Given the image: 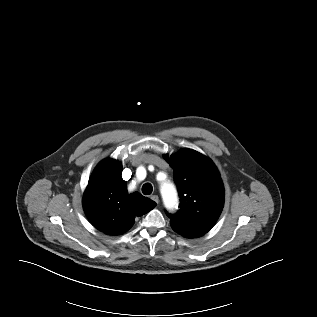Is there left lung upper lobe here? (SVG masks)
<instances>
[{"mask_svg":"<svg viewBox=\"0 0 317 317\" xmlns=\"http://www.w3.org/2000/svg\"><path fill=\"white\" fill-rule=\"evenodd\" d=\"M166 161L174 170L180 196L176 214H169L174 231L178 226L211 229L224 204V187L219 172L206 156L191 149H182Z\"/></svg>","mask_w":317,"mask_h":317,"instance_id":"1","label":"left lung upper lobe"}]
</instances>
